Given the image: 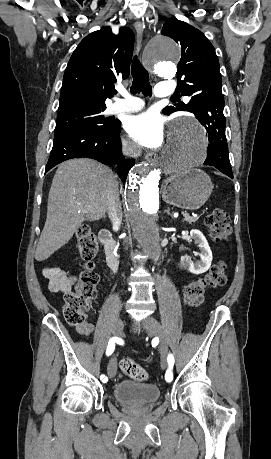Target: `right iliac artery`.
<instances>
[{
  "mask_svg": "<svg viewBox=\"0 0 271 459\" xmlns=\"http://www.w3.org/2000/svg\"><path fill=\"white\" fill-rule=\"evenodd\" d=\"M117 337H113L109 340L107 350H106V355L109 356L113 353L115 349V342H116ZM100 379L103 381H107V377L105 375H101Z\"/></svg>",
  "mask_w": 271,
  "mask_h": 459,
  "instance_id": "82829eb1",
  "label": "right iliac artery"
}]
</instances>
